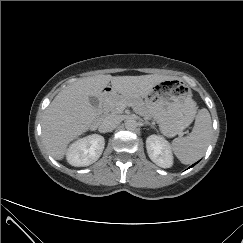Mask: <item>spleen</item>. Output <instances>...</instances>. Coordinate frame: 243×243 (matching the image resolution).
Returning a JSON list of instances; mask_svg holds the SVG:
<instances>
[{"label":"spleen","mask_w":243,"mask_h":243,"mask_svg":"<svg viewBox=\"0 0 243 243\" xmlns=\"http://www.w3.org/2000/svg\"><path fill=\"white\" fill-rule=\"evenodd\" d=\"M212 134L210 113L203 108L195 117L194 127L186 137H178L172 141V150L183 164H192L201 159L208 147Z\"/></svg>","instance_id":"obj_1"}]
</instances>
